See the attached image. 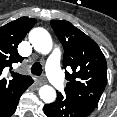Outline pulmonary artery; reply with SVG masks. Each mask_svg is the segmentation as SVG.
I'll return each mask as SVG.
<instances>
[{
	"mask_svg": "<svg viewBox=\"0 0 117 117\" xmlns=\"http://www.w3.org/2000/svg\"><path fill=\"white\" fill-rule=\"evenodd\" d=\"M60 56V50L55 48L47 60L46 68L51 83L57 89L62 90L64 88V79L59 67Z\"/></svg>",
	"mask_w": 117,
	"mask_h": 117,
	"instance_id": "obj_1",
	"label": "pulmonary artery"
}]
</instances>
